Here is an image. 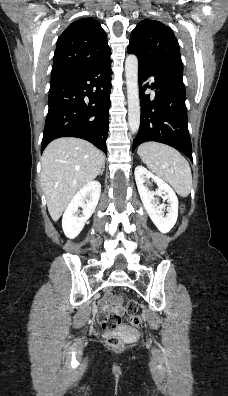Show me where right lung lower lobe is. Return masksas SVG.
I'll return each instance as SVG.
<instances>
[{"mask_svg": "<svg viewBox=\"0 0 228 396\" xmlns=\"http://www.w3.org/2000/svg\"><path fill=\"white\" fill-rule=\"evenodd\" d=\"M110 57L91 68L51 77L41 151L59 137L85 139L107 153Z\"/></svg>", "mask_w": 228, "mask_h": 396, "instance_id": "right-lung-lower-lobe-1", "label": "right lung lower lobe"}]
</instances>
